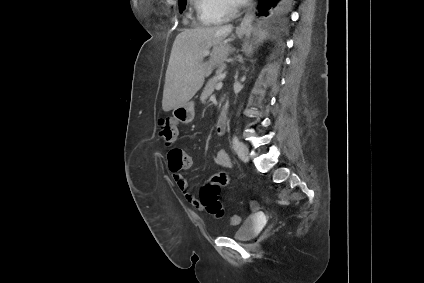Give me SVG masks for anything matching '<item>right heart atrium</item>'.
<instances>
[{"label": "right heart atrium", "instance_id": "right-heart-atrium-1", "mask_svg": "<svg viewBox=\"0 0 424 283\" xmlns=\"http://www.w3.org/2000/svg\"><path fill=\"white\" fill-rule=\"evenodd\" d=\"M237 7V0H198V10L204 17L214 15L226 19L236 12Z\"/></svg>", "mask_w": 424, "mask_h": 283}]
</instances>
